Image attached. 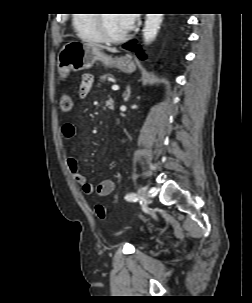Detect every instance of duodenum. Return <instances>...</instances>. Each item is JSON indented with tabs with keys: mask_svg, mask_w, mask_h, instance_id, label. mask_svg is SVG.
Wrapping results in <instances>:
<instances>
[{
	"mask_svg": "<svg viewBox=\"0 0 252 303\" xmlns=\"http://www.w3.org/2000/svg\"><path fill=\"white\" fill-rule=\"evenodd\" d=\"M106 106L108 109H114V102L113 101H107Z\"/></svg>",
	"mask_w": 252,
	"mask_h": 303,
	"instance_id": "410a0bca",
	"label": "duodenum"
}]
</instances>
